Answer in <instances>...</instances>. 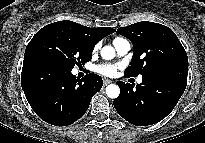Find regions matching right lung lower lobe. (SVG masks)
Returning a JSON list of instances; mask_svg holds the SVG:
<instances>
[{
	"instance_id": "98d812e1",
	"label": "right lung lower lobe",
	"mask_w": 205,
	"mask_h": 143,
	"mask_svg": "<svg viewBox=\"0 0 205 143\" xmlns=\"http://www.w3.org/2000/svg\"><path fill=\"white\" fill-rule=\"evenodd\" d=\"M71 70L43 55H24L22 89L35 113L49 124L67 126L77 121L102 88L100 76L91 73L79 80Z\"/></svg>"
}]
</instances>
